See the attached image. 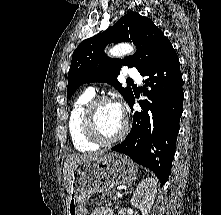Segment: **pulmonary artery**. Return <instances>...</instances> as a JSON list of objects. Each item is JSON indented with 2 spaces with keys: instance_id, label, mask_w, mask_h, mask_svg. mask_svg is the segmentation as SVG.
<instances>
[{
  "instance_id": "1",
  "label": "pulmonary artery",
  "mask_w": 221,
  "mask_h": 215,
  "mask_svg": "<svg viewBox=\"0 0 221 215\" xmlns=\"http://www.w3.org/2000/svg\"><path fill=\"white\" fill-rule=\"evenodd\" d=\"M124 75L132 78V79H135L136 81L140 82V74L139 72L137 71V69L135 68H126V71L124 72ZM89 93L91 94H95L96 92V88L94 87H89L88 90H87Z\"/></svg>"
}]
</instances>
